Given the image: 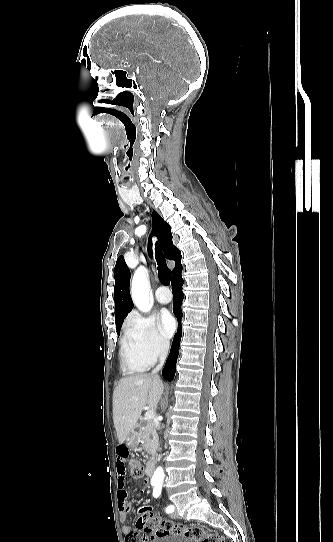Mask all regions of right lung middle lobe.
Instances as JSON below:
<instances>
[{
  "label": "right lung middle lobe",
  "instance_id": "dd1d6c3e",
  "mask_svg": "<svg viewBox=\"0 0 333 542\" xmlns=\"http://www.w3.org/2000/svg\"><path fill=\"white\" fill-rule=\"evenodd\" d=\"M120 328H121V327H119V328H116V330H117V334H118V335H119V333H120Z\"/></svg>",
  "mask_w": 333,
  "mask_h": 542
}]
</instances>
